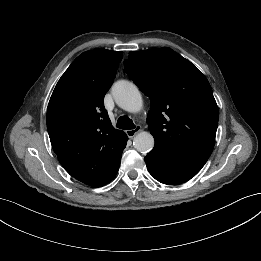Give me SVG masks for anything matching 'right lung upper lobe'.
<instances>
[{
    "label": "right lung upper lobe",
    "mask_w": 261,
    "mask_h": 261,
    "mask_svg": "<svg viewBox=\"0 0 261 261\" xmlns=\"http://www.w3.org/2000/svg\"><path fill=\"white\" fill-rule=\"evenodd\" d=\"M123 52L82 53L58 81L47 109V129L58 160L77 180L94 186L117 166L127 135L116 130L104 108V95Z\"/></svg>",
    "instance_id": "right-lung-upper-lobe-1"
}]
</instances>
